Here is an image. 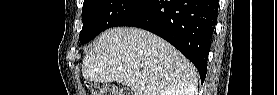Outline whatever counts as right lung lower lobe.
<instances>
[{"label":"right lung lower lobe","instance_id":"98d812e1","mask_svg":"<svg viewBox=\"0 0 277 95\" xmlns=\"http://www.w3.org/2000/svg\"><path fill=\"white\" fill-rule=\"evenodd\" d=\"M217 0H143L116 26H134L167 40L198 69L204 82Z\"/></svg>","mask_w":277,"mask_h":95}]
</instances>
